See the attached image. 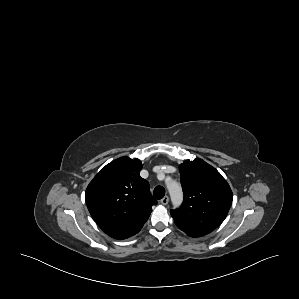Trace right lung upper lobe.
<instances>
[{"label": "right lung upper lobe", "mask_w": 299, "mask_h": 299, "mask_svg": "<svg viewBox=\"0 0 299 299\" xmlns=\"http://www.w3.org/2000/svg\"><path fill=\"white\" fill-rule=\"evenodd\" d=\"M142 164L127 156L107 164L85 193L88 210L107 235L123 240L138 233L156 200L148 182L140 177Z\"/></svg>", "instance_id": "1"}]
</instances>
